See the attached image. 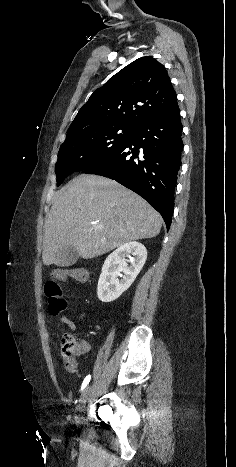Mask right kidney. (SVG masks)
<instances>
[{
	"label": "right kidney",
	"instance_id": "ca27d5eb",
	"mask_svg": "<svg viewBox=\"0 0 236 467\" xmlns=\"http://www.w3.org/2000/svg\"><path fill=\"white\" fill-rule=\"evenodd\" d=\"M128 257L131 259H126ZM146 259L147 250L139 242H128L112 252L106 258L99 277V300L106 303L116 300L134 282Z\"/></svg>",
	"mask_w": 236,
	"mask_h": 467
}]
</instances>
